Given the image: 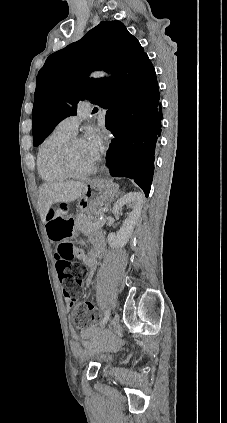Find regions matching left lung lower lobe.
<instances>
[{
    "label": "left lung lower lobe",
    "mask_w": 227,
    "mask_h": 423,
    "mask_svg": "<svg viewBox=\"0 0 227 423\" xmlns=\"http://www.w3.org/2000/svg\"><path fill=\"white\" fill-rule=\"evenodd\" d=\"M130 100L126 109L107 110L105 126L116 137L107 153V166L112 176L133 179L148 197L162 119L155 70Z\"/></svg>",
    "instance_id": "1"
}]
</instances>
